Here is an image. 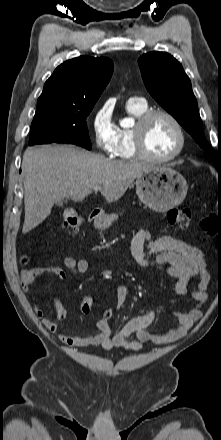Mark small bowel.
Wrapping results in <instances>:
<instances>
[{
    "label": "small bowel",
    "instance_id": "1",
    "mask_svg": "<svg viewBox=\"0 0 221 440\" xmlns=\"http://www.w3.org/2000/svg\"><path fill=\"white\" fill-rule=\"evenodd\" d=\"M146 247L149 249V254L153 256L152 261L145 255ZM129 253L139 266H152L176 278L175 293L179 296L191 293L195 300L194 308L188 312H176L175 316L178 320V325L158 333L147 330V327L156 319V313L150 311L130 319L115 334L112 333L111 321H104L103 318H100L96 324L97 334L69 336L58 333L56 321H62L67 317V310L61 300L53 295L46 298L52 302L55 308V321L44 317L39 304L42 299L33 296L35 314L42 320L43 325L50 332L58 334V338L62 343L76 348L100 345L107 350L123 348L129 351H137L146 343L160 345L182 338L192 328L193 324L202 317L203 305L207 300L209 275L205 268V261L201 250L171 236L151 239L146 229H140L129 243ZM63 264L75 276L82 275L89 269L87 260H77L70 256L63 258ZM43 274L55 275L58 280L66 278V272L58 266L28 267L21 273V283L24 291L28 292L31 284ZM128 294L129 288L126 285H119L117 287V308L125 304ZM112 312V316H114V311L112 310Z\"/></svg>",
    "mask_w": 221,
    "mask_h": 440
}]
</instances>
